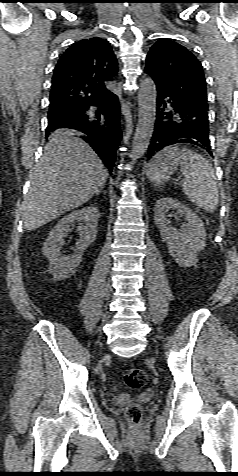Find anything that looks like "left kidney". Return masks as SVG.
I'll return each instance as SVG.
<instances>
[{"mask_svg": "<svg viewBox=\"0 0 238 476\" xmlns=\"http://www.w3.org/2000/svg\"><path fill=\"white\" fill-rule=\"evenodd\" d=\"M169 210H175L184 215L187 224L180 229L170 225L167 218ZM155 223L160 230L163 241L167 244L169 254L180 266H193L198 261V252L206 247V232L203 221L181 202L170 198L161 197L156 201Z\"/></svg>", "mask_w": 238, "mask_h": 476, "instance_id": "5707ae66", "label": "left kidney"}]
</instances>
